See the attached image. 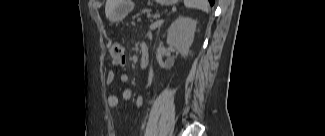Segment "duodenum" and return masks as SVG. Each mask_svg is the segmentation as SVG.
<instances>
[{
	"label": "duodenum",
	"instance_id": "obj_1",
	"mask_svg": "<svg viewBox=\"0 0 325 136\" xmlns=\"http://www.w3.org/2000/svg\"><path fill=\"white\" fill-rule=\"evenodd\" d=\"M140 67L142 69L146 68L149 64V47L147 46V44H142L141 45V49H140Z\"/></svg>",
	"mask_w": 325,
	"mask_h": 136
}]
</instances>
